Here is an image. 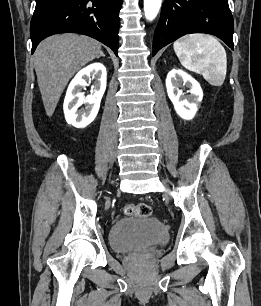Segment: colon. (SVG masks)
<instances>
[{
    "label": "colon",
    "instance_id": "colon-1",
    "mask_svg": "<svg viewBox=\"0 0 261 306\" xmlns=\"http://www.w3.org/2000/svg\"><path fill=\"white\" fill-rule=\"evenodd\" d=\"M123 212L128 216L148 217L151 215L152 210L148 204H126L123 208Z\"/></svg>",
    "mask_w": 261,
    "mask_h": 306
}]
</instances>
